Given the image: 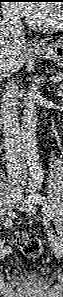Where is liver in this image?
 Instances as JSON below:
<instances>
[{"label": "liver", "mask_w": 63, "mask_h": 297, "mask_svg": "<svg viewBox=\"0 0 63 297\" xmlns=\"http://www.w3.org/2000/svg\"><path fill=\"white\" fill-rule=\"evenodd\" d=\"M30 49L25 38L16 41L10 35L0 34V75L18 71L26 62Z\"/></svg>", "instance_id": "obj_1"}]
</instances>
